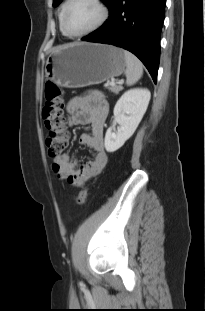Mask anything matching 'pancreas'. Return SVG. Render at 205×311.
<instances>
[{"mask_svg": "<svg viewBox=\"0 0 205 311\" xmlns=\"http://www.w3.org/2000/svg\"><path fill=\"white\" fill-rule=\"evenodd\" d=\"M123 88L121 85H110L109 90L115 94H118Z\"/></svg>", "mask_w": 205, "mask_h": 311, "instance_id": "pancreas-1", "label": "pancreas"}]
</instances>
